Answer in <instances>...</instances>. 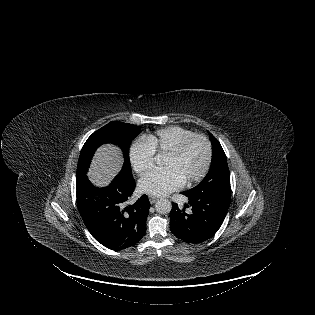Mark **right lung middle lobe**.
Wrapping results in <instances>:
<instances>
[{"mask_svg":"<svg viewBox=\"0 0 315 315\" xmlns=\"http://www.w3.org/2000/svg\"><path fill=\"white\" fill-rule=\"evenodd\" d=\"M141 132L139 126L123 122H110L94 132L85 142L78 161L77 176L87 173L92 156L96 149L106 143L118 145L124 154L122 173L132 177L129 160V146L131 141Z\"/></svg>","mask_w":315,"mask_h":315,"instance_id":"obj_1","label":"right lung middle lobe"}]
</instances>
